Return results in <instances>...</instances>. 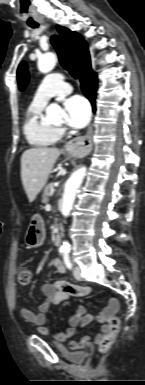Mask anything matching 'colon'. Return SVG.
Segmentation results:
<instances>
[{
	"mask_svg": "<svg viewBox=\"0 0 145 385\" xmlns=\"http://www.w3.org/2000/svg\"><path fill=\"white\" fill-rule=\"evenodd\" d=\"M14 277L18 286H20L21 288H25L30 284L32 280V271L28 266L19 265L15 269ZM60 289L63 292L72 294V295H76L80 292V290L74 285L62 284L60 286ZM117 309H118L117 305L109 307L110 315L108 317V330L100 340V348L102 350L109 349L110 346L113 344L116 336L119 333L120 319L115 314Z\"/></svg>",
	"mask_w": 145,
	"mask_h": 385,
	"instance_id": "5ec220e1",
	"label": "colon"
}]
</instances>
